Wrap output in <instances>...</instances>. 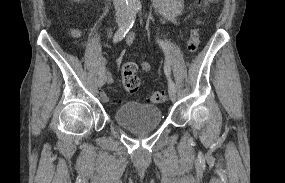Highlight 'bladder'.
I'll return each mask as SVG.
<instances>
[{"instance_id": "1", "label": "bladder", "mask_w": 285, "mask_h": 183, "mask_svg": "<svg viewBox=\"0 0 285 183\" xmlns=\"http://www.w3.org/2000/svg\"><path fill=\"white\" fill-rule=\"evenodd\" d=\"M115 120L130 129L157 127L162 122L161 109L154 105L128 102L115 110Z\"/></svg>"}]
</instances>
